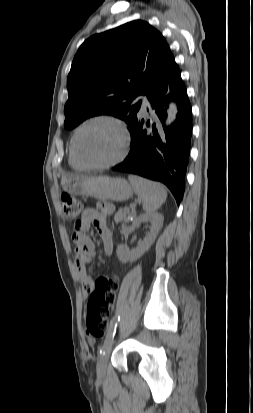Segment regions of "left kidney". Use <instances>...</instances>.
<instances>
[{
    "label": "left kidney",
    "instance_id": "1",
    "mask_svg": "<svg viewBox=\"0 0 253 413\" xmlns=\"http://www.w3.org/2000/svg\"><path fill=\"white\" fill-rule=\"evenodd\" d=\"M163 215L159 213L142 214L133 220L134 227L140 226L144 222H150V232L145 236L144 240L132 250L119 245L117 248V257L122 263L134 262L139 259L146 251L149 250L152 243L155 241L157 234L163 225Z\"/></svg>",
    "mask_w": 253,
    "mask_h": 413
}]
</instances>
